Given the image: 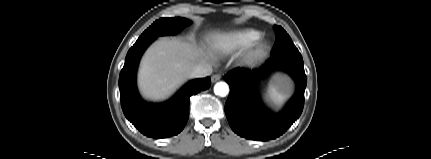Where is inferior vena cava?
Returning a JSON list of instances; mask_svg holds the SVG:
<instances>
[{
    "mask_svg": "<svg viewBox=\"0 0 431 159\" xmlns=\"http://www.w3.org/2000/svg\"><path fill=\"white\" fill-rule=\"evenodd\" d=\"M212 66L208 63L196 65L190 73L191 78L205 77L212 73Z\"/></svg>",
    "mask_w": 431,
    "mask_h": 159,
    "instance_id": "inferior-vena-cava-1",
    "label": "inferior vena cava"
}]
</instances>
